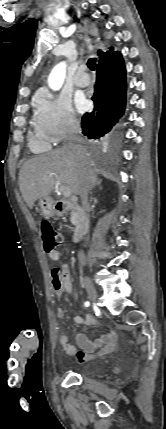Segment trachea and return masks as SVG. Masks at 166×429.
<instances>
[{
    "label": "trachea",
    "mask_w": 166,
    "mask_h": 429,
    "mask_svg": "<svg viewBox=\"0 0 166 429\" xmlns=\"http://www.w3.org/2000/svg\"><path fill=\"white\" fill-rule=\"evenodd\" d=\"M87 66L90 70L94 71L96 68V58H90L87 61Z\"/></svg>",
    "instance_id": "trachea-1"
}]
</instances>
